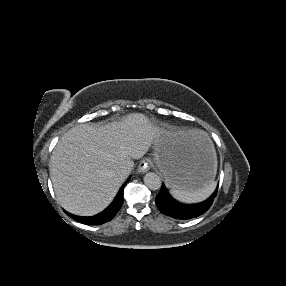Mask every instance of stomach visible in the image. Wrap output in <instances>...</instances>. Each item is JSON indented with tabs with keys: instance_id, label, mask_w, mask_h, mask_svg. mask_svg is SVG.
Returning <instances> with one entry per match:
<instances>
[{
	"instance_id": "0dacf381",
	"label": "stomach",
	"mask_w": 286,
	"mask_h": 286,
	"mask_svg": "<svg viewBox=\"0 0 286 286\" xmlns=\"http://www.w3.org/2000/svg\"><path fill=\"white\" fill-rule=\"evenodd\" d=\"M155 162L170 187L198 190L208 186L217 172L216 152L207 136L196 129L169 123L153 139Z\"/></svg>"
}]
</instances>
